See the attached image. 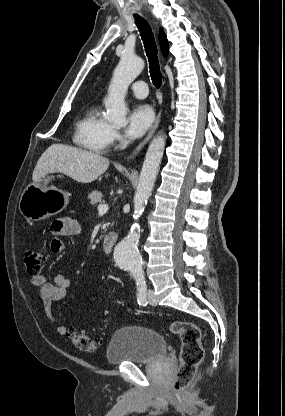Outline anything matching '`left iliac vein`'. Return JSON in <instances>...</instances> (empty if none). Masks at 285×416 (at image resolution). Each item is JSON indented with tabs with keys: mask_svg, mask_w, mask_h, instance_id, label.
<instances>
[{
	"mask_svg": "<svg viewBox=\"0 0 285 416\" xmlns=\"http://www.w3.org/2000/svg\"><path fill=\"white\" fill-rule=\"evenodd\" d=\"M147 296H148V302L151 305L156 306L157 305V300H156V297L154 295V291L152 289H149L147 291Z\"/></svg>",
	"mask_w": 285,
	"mask_h": 416,
	"instance_id": "1",
	"label": "left iliac vein"
}]
</instances>
